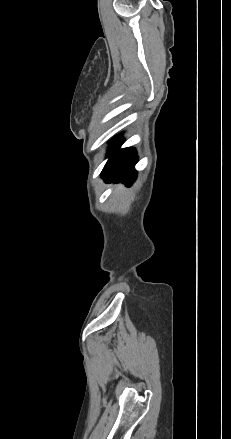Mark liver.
<instances>
[{
  "mask_svg": "<svg viewBox=\"0 0 231 439\" xmlns=\"http://www.w3.org/2000/svg\"><path fill=\"white\" fill-rule=\"evenodd\" d=\"M122 188V186H118V189Z\"/></svg>",
  "mask_w": 231,
  "mask_h": 439,
  "instance_id": "liver-1",
  "label": "liver"
}]
</instances>
